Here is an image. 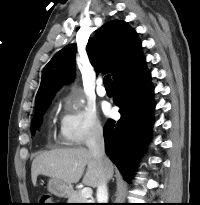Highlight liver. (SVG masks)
Masks as SVG:
<instances>
[{
	"instance_id": "1",
	"label": "liver",
	"mask_w": 200,
	"mask_h": 205,
	"mask_svg": "<svg viewBox=\"0 0 200 205\" xmlns=\"http://www.w3.org/2000/svg\"><path fill=\"white\" fill-rule=\"evenodd\" d=\"M86 166L82 183L87 186L98 187L102 174L107 180L113 176V165L107 158L100 164L88 149L79 147L54 149L37 155L31 166L32 182L35 184L37 176L42 174L71 185L81 179Z\"/></svg>"
}]
</instances>
